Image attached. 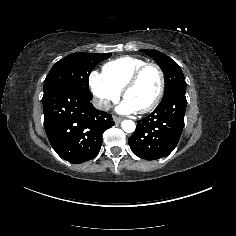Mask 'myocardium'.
Here are the masks:
<instances>
[{"label":"myocardium","mask_w":236,"mask_h":236,"mask_svg":"<svg viewBox=\"0 0 236 236\" xmlns=\"http://www.w3.org/2000/svg\"><path fill=\"white\" fill-rule=\"evenodd\" d=\"M148 68H154L157 71V73L159 75V87H158L157 94H156L155 98L153 99V101L149 105H147L146 107H144L140 110H137L139 113H142V114L152 111L154 108H156L158 106V104L162 100V97H163V94L165 91V85H166L165 74H164V71L162 70V68L156 63H152V62L144 63L143 65L139 66L132 73V75L128 78V80L126 81V83L122 89V96L125 99L126 93L128 92V90L131 89L136 84V82L140 78L141 74Z\"/></svg>","instance_id":"f54148a6"}]
</instances>
